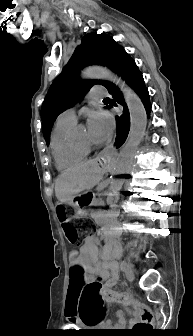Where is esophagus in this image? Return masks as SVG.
I'll list each match as a JSON object with an SVG mask.
<instances>
[{
	"instance_id": "1",
	"label": "esophagus",
	"mask_w": 193,
	"mask_h": 336,
	"mask_svg": "<svg viewBox=\"0 0 193 336\" xmlns=\"http://www.w3.org/2000/svg\"><path fill=\"white\" fill-rule=\"evenodd\" d=\"M117 153V150L114 146V143H111L107 145L98 155V160L101 161L105 157L110 156V155H115Z\"/></svg>"
}]
</instances>
